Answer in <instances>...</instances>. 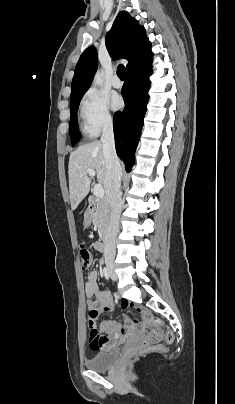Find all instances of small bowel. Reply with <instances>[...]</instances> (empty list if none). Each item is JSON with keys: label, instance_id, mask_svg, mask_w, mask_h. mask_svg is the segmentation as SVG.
<instances>
[{"label": "small bowel", "instance_id": "1", "mask_svg": "<svg viewBox=\"0 0 235 404\" xmlns=\"http://www.w3.org/2000/svg\"><path fill=\"white\" fill-rule=\"evenodd\" d=\"M95 248L101 250L102 246L100 243H95ZM85 293L88 298L87 307L89 314H94L95 319L101 312H112L116 309L112 296L108 292L99 290L98 272L96 270H93L88 274L85 284ZM121 305L123 309H128L130 307V303L126 300L122 301ZM136 312L143 317L138 308H136ZM125 320V324L114 320H105L102 322L97 329V334L98 332H102L109 334L111 337H102L98 335V337L105 339L104 343L98 345L93 342V337H91V347L95 350H99L102 347H106L108 343H111L114 346L121 344L127 335L133 331L130 321L127 318H125Z\"/></svg>", "mask_w": 235, "mask_h": 404}]
</instances>
